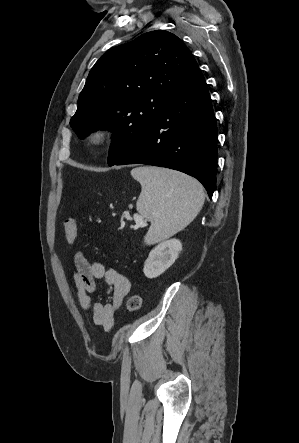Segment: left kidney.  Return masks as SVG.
Returning <instances> with one entry per match:
<instances>
[{
	"label": "left kidney",
	"instance_id": "1",
	"mask_svg": "<svg viewBox=\"0 0 299 443\" xmlns=\"http://www.w3.org/2000/svg\"><path fill=\"white\" fill-rule=\"evenodd\" d=\"M182 244L178 239L166 240L149 253L143 272L147 278H155L164 273L178 258Z\"/></svg>",
	"mask_w": 299,
	"mask_h": 443
}]
</instances>
